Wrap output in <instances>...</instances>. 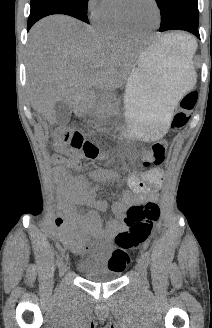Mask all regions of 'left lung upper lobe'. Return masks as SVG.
Instances as JSON below:
<instances>
[{
  "mask_svg": "<svg viewBox=\"0 0 212 328\" xmlns=\"http://www.w3.org/2000/svg\"><path fill=\"white\" fill-rule=\"evenodd\" d=\"M161 12L160 31L186 23L198 27V0H156Z\"/></svg>",
  "mask_w": 212,
  "mask_h": 328,
  "instance_id": "left-lung-upper-lobe-1",
  "label": "left lung upper lobe"
}]
</instances>
